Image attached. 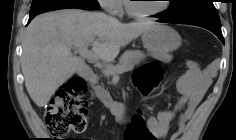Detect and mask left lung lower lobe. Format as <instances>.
Listing matches in <instances>:
<instances>
[{"mask_svg":"<svg viewBox=\"0 0 236 140\" xmlns=\"http://www.w3.org/2000/svg\"><path fill=\"white\" fill-rule=\"evenodd\" d=\"M159 22H162V23H176V24H188V25H195V26L205 28V29L213 32L224 44V38H223V35H222V32H221V27H217V26L209 25V24H203V23L170 21L165 16H160L159 17Z\"/></svg>","mask_w":236,"mask_h":140,"instance_id":"1","label":"left lung lower lobe"}]
</instances>
